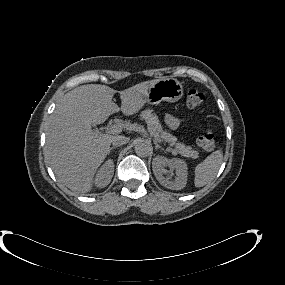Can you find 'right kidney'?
Returning <instances> with one entry per match:
<instances>
[{
    "mask_svg": "<svg viewBox=\"0 0 285 285\" xmlns=\"http://www.w3.org/2000/svg\"><path fill=\"white\" fill-rule=\"evenodd\" d=\"M114 175V163L113 160H107L98 170L95 177V185L99 188L106 187Z\"/></svg>",
    "mask_w": 285,
    "mask_h": 285,
    "instance_id": "ca27d5eb",
    "label": "right kidney"
}]
</instances>
